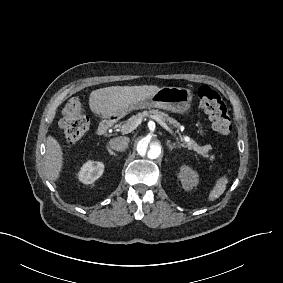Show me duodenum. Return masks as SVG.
Here are the masks:
<instances>
[{
	"label": "duodenum",
	"mask_w": 283,
	"mask_h": 283,
	"mask_svg": "<svg viewBox=\"0 0 283 283\" xmlns=\"http://www.w3.org/2000/svg\"><path fill=\"white\" fill-rule=\"evenodd\" d=\"M111 123H112V120L110 118L103 119L97 129L98 135L100 136L105 135L107 131L109 130Z\"/></svg>",
	"instance_id": "duodenum-1"
}]
</instances>
